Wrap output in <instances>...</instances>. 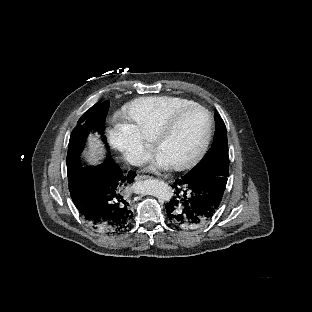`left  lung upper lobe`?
Here are the masks:
<instances>
[{"instance_id":"obj_1","label":"left lung upper lobe","mask_w":312,"mask_h":312,"mask_svg":"<svg viewBox=\"0 0 312 312\" xmlns=\"http://www.w3.org/2000/svg\"><path fill=\"white\" fill-rule=\"evenodd\" d=\"M215 122L216 134L212 148L186 175H194L210 169H229L227 131L222 118L217 113Z\"/></svg>"}]
</instances>
